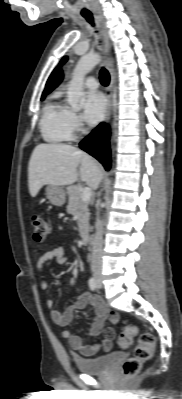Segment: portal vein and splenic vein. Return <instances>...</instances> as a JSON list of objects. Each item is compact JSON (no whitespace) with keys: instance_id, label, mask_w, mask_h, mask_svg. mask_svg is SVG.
<instances>
[{"instance_id":"18ae733b","label":"portal vein and splenic vein","mask_w":182,"mask_h":399,"mask_svg":"<svg viewBox=\"0 0 182 399\" xmlns=\"http://www.w3.org/2000/svg\"><path fill=\"white\" fill-rule=\"evenodd\" d=\"M91 196H92V191H91L90 188L85 187V188H83V189L81 190V199H82L83 201L89 200V199L91 198Z\"/></svg>"}]
</instances>
